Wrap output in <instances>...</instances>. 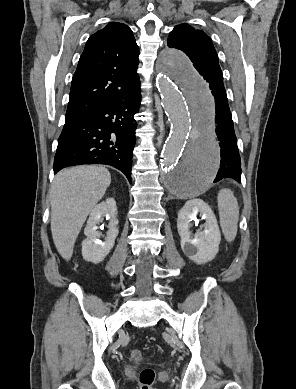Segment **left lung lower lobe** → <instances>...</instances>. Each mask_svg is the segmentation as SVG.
<instances>
[{
    "instance_id": "obj_1",
    "label": "left lung lower lobe",
    "mask_w": 296,
    "mask_h": 389,
    "mask_svg": "<svg viewBox=\"0 0 296 389\" xmlns=\"http://www.w3.org/2000/svg\"><path fill=\"white\" fill-rule=\"evenodd\" d=\"M204 79L209 84L215 101V124L216 135L220 141L221 161L220 168L214 180L220 181L224 178H232L241 183V162L237 147V139L234 132L231 112L228 105V99L223 84V75H208ZM193 159V153H190L186 163L182 165L180 177L187 178L190 175V165Z\"/></svg>"
}]
</instances>
